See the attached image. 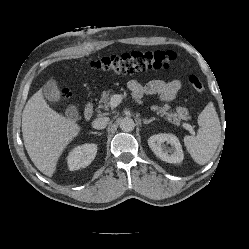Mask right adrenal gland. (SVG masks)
I'll return each mask as SVG.
<instances>
[{
    "label": "right adrenal gland",
    "instance_id": "2a0ac1e0",
    "mask_svg": "<svg viewBox=\"0 0 249 249\" xmlns=\"http://www.w3.org/2000/svg\"><path fill=\"white\" fill-rule=\"evenodd\" d=\"M91 134L102 135L103 133H101V132H91Z\"/></svg>",
    "mask_w": 249,
    "mask_h": 249
}]
</instances>
